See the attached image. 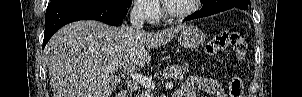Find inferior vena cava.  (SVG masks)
I'll return each mask as SVG.
<instances>
[{
  "instance_id": "602c4592",
  "label": "inferior vena cava",
  "mask_w": 302,
  "mask_h": 97,
  "mask_svg": "<svg viewBox=\"0 0 302 97\" xmlns=\"http://www.w3.org/2000/svg\"><path fill=\"white\" fill-rule=\"evenodd\" d=\"M144 4L136 3L130 13V23L136 31H144Z\"/></svg>"
}]
</instances>
